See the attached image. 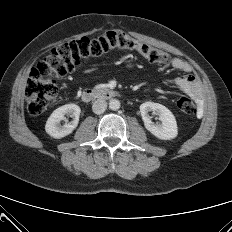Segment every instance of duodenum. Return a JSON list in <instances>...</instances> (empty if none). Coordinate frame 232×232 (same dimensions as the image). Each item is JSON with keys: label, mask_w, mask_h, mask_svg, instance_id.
Returning <instances> with one entry per match:
<instances>
[{"label": "duodenum", "mask_w": 232, "mask_h": 232, "mask_svg": "<svg viewBox=\"0 0 232 232\" xmlns=\"http://www.w3.org/2000/svg\"><path fill=\"white\" fill-rule=\"evenodd\" d=\"M117 92L112 89H86L81 94L83 102L88 103L97 99H113Z\"/></svg>", "instance_id": "410a0bca"}]
</instances>
